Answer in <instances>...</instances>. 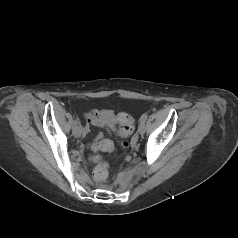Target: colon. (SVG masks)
<instances>
[{"label": "colon", "instance_id": "1", "mask_svg": "<svg viewBox=\"0 0 238 238\" xmlns=\"http://www.w3.org/2000/svg\"><path fill=\"white\" fill-rule=\"evenodd\" d=\"M115 123L118 125L119 133L121 136H128L133 131V119L126 113L121 112L115 118ZM111 146L103 145L102 151H109ZM92 161L96 164L93 177L97 182L104 181L108 176V165L104 162L100 155L96 154L92 157Z\"/></svg>", "mask_w": 238, "mask_h": 238}]
</instances>
